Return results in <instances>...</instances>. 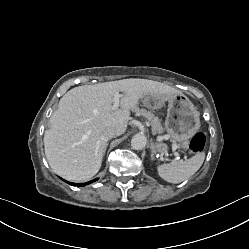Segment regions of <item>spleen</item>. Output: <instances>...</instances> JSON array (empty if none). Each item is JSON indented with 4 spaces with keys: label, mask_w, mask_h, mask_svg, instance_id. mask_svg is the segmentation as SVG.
<instances>
[{
    "label": "spleen",
    "mask_w": 249,
    "mask_h": 249,
    "mask_svg": "<svg viewBox=\"0 0 249 249\" xmlns=\"http://www.w3.org/2000/svg\"><path fill=\"white\" fill-rule=\"evenodd\" d=\"M205 153L199 152L185 161H172L157 167L159 176L169 183H181L194 175L202 166Z\"/></svg>",
    "instance_id": "1"
}]
</instances>
